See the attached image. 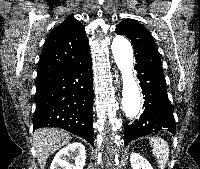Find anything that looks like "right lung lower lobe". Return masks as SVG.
<instances>
[{
    "label": "right lung lower lobe",
    "mask_w": 200,
    "mask_h": 169,
    "mask_svg": "<svg viewBox=\"0 0 200 169\" xmlns=\"http://www.w3.org/2000/svg\"><path fill=\"white\" fill-rule=\"evenodd\" d=\"M92 77L90 52L74 65L37 76L34 130L63 128L93 145Z\"/></svg>",
    "instance_id": "98d812e1"
}]
</instances>
